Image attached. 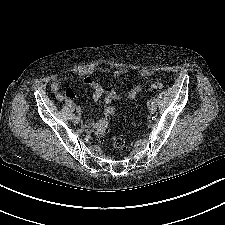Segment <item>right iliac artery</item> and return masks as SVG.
<instances>
[{
	"mask_svg": "<svg viewBox=\"0 0 225 225\" xmlns=\"http://www.w3.org/2000/svg\"><path fill=\"white\" fill-rule=\"evenodd\" d=\"M71 118L74 119V118H75V114H72V115H71Z\"/></svg>",
	"mask_w": 225,
	"mask_h": 225,
	"instance_id": "right-iliac-artery-1",
	"label": "right iliac artery"
}]
</instances>
